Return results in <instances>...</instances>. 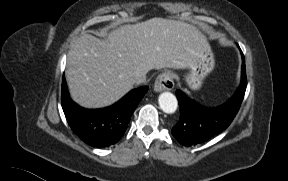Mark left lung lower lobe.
Instances as JSON below:
<instances>
[{"mask_svg": "<svg viewBox=\"0 0 288 181\" xmlns=\"http://www.w3.org/2000/svg\"><path fill=\"white\" fill-rule=\"evenodd\" d=\"M242 60L241 84L235 95L223 105L207 108L188 98L182 91H176L180 119L172 128V134L180 144L192 146L203 143L231 124L240 108L247 86L243 54Z\"/></svg>", "mask_w": 288, "mask_h": 181, "instance_id": "0a47b994", "label": "left lung lower lobe"}]
</instances>
